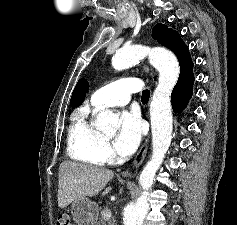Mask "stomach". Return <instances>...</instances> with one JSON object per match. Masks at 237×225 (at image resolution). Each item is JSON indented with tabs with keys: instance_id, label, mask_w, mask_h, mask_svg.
I'll return each mask as SVG.
<instances>
[{
	"instance_id": "1",
	"label": "stomach",
	"mask_w": 237,
	"mask_h": 225,
	"mask_svg": "<svg viewBox=\"0 0 237 225\" xmlns=\"http://www.w3.org/2000/svg\"><path fill=\"white\" fill-rule=\"evenodd\" d=\"M98 211L97 203L86 197L76 199L71 204V214L77 225H90L97 218Z\"/></svg>"
}]
</instances>
